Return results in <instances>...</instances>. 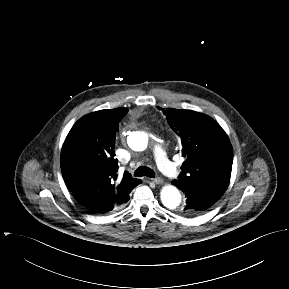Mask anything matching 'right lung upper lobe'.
<instances>
[{
    "mask_svg": "<svg viewBox=\"0 0 289 289\" xmlns=\"http://www.w3.org/2000/svg\"><path fill=\"white\" fill-rule=\"evenodd\" d=\"M127 112V108H115L87 114L74 124L63 144V178L76 200L90 212L117 209L140 183L127 172L122 179L117 178L115 137Z\"/></svg>",
    "mask_w": 289,
    "mask_h": 289,
    "instance_id": "cb5924a9",
    "label": "right lung upper lobe"
}]
</instances>
